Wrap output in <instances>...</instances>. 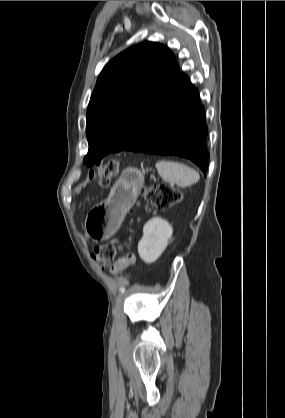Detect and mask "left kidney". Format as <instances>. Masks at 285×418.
<instances>
[{
	"instance_id": "left-kidney-1",
	"label": "left kidney",
	"mask_w": 285,
	"mask_h": 418,
	"mask_svg": "<svg viewBox=\"0 0 285 418\" xmlns=\"http://www.w3.org/2000/svg\"><path fill=\"white\" fill-rule=\"evenodd\" d=\"M172 233V226L161 217H153L147 221L143 227V236L138 243L141 259L147 264L155 262L166 249Z\"/></svg>"
}]
</instances>
